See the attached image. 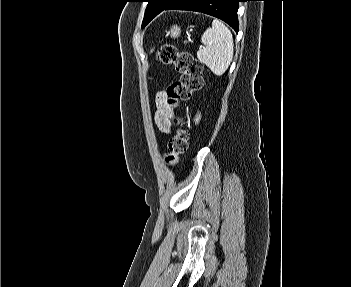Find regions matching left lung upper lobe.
Here are the masks:
<instances>
[{"mask_svg": "<svg viewBox=\"0 0 351 287\" xmlns=\"http://www.w3.org/2000/svg\"><path fill=\"white\" fill-rule=\"evenodd\" d=\"M148 2L142 26H146L155 16L174 0H146Z\"/></svg>", "mask_w": 351, "mask_h": 287, "instance_id": "1", "label": "left lung upper lobe"}]
</instances>
